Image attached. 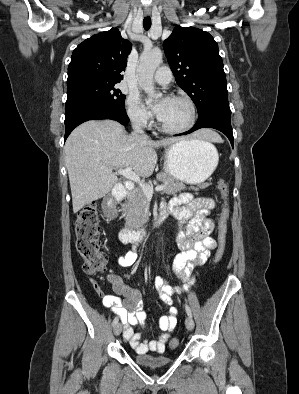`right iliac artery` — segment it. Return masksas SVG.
<instances>
[{"instance_id": "82829eb1", "label": "right iliac artery", "mask_w": 299, "mask_h": 394, "mask_svg": "<svg viewBox=\"0 0 299 394\" xmlns=\"http://www.w3.org/2000/svg\"><path fill=\"white\" fill-rule=\"evenodd\" d=\"M118 320H119V318L115 317L113 322H112V325L115 326L118 323Z\"/></svg>"}]
</instances>
